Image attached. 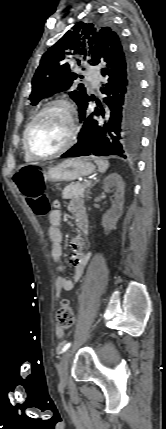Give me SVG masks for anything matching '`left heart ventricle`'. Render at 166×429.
<instances>
[{
  "label": "left heart ventricle",
  "mask_w": 166,
  "mask_h": 429,
  "mask_svg": "<svg viewBox=\"0 0 166 429\" xmlns=\"http://www.w3.org/2000/svg\"><path fill=\"white\" fill-rule=\"evenodd\" d=\"M68 121L61 109H52L34 125L29 145L37 155H49L61 148L67 140Z\"/></svg>",
  "instance_id": "b2bd125f"
}]
</instances>
